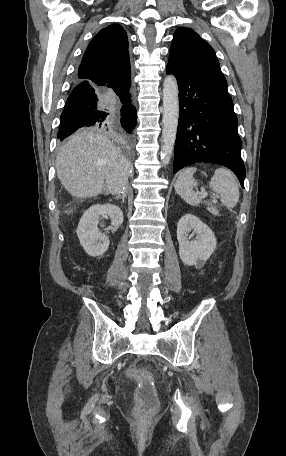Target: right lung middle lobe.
Here are the masks:
<instances>
[{
	"mask_svg": "<svg viewBox=\"0 0 286 456\" xmlns=\"http://www.w3.org/2000/svg\"><path fill=\"white\" fill-rule=\"evenodd\" d=\"M123 142H124V141H123ZM124 143H125V145H128V146L131 144V142H130V143H126V142H124Z\"/></svg>",
	"mask_w": 286,
	"mask_h": 456,
	"instance_id": "right-lung-middle-lobe-1",
	"label": "right lung middle lobe"
}]
</instances>
